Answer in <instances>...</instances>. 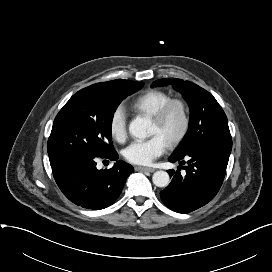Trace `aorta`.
Instances as JSON below:
<instances>
[{
	"mask_svg": "<svg viewBox=\"0 0 272 272\" xmlns=\"http://www.w3.org/2000/svg\"><path fill=\"white\" fill-rule=\"evenodd\" d=\"M130 134L138 139H145L152 134V123L142 117L133 119L129 124ZM152 181L157 187H166L170 182L169 174L166 171H156L152 176Z\"/></svg>",
	"mask_w": 272,
	"mask_h": 272,
	"instance_id": "762f6f07",
	"label": "aorta"
}]
</instances>
